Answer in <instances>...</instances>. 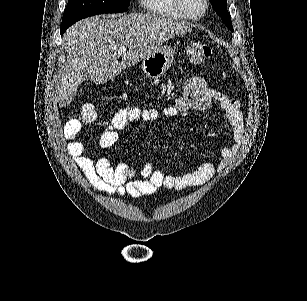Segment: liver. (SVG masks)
Instances as JSON below:
<instances>
[{"instance_id": "1", "label": "liver", "mask_w": 307, "mask_h": 301, "mask_svg": "<svg viewBox=\"0 0 307 301\" xmlns=\"http://www.w3.org/2000/svg\"><path fill=\"white\" fill-rule=\"evenodd\" d=\"M191 30V22L140 12L118 18L90 16L72 24L63 36L66 62L59 86L60 108L70 104L83 80L90 78L95 84H104L118 76L123 68L159 50L169 38ZM119 46H128L121 62L119 52L113 50Z\"/></svg>"}]
</instances>
